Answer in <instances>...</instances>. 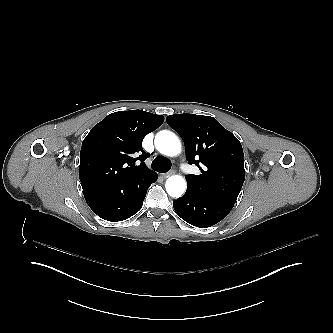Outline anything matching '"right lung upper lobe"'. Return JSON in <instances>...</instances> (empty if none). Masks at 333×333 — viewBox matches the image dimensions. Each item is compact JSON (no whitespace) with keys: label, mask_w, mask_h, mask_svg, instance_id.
<instances>
[{"label":"right lung upper lobe","mask_w":333,"mask_h":333,"mask_svg":"<svg viewBox=\"0 0 333 333\" xmlns=\"http://www.w3.org/2000/svg\"><path fill=\"white\" fill-rule=\"evenodd\" d=\"M163 121L162 115L131 110L112 113L96 124L81 147L79 178L82 188L85 181H124L150 171L144 163L149 154L142 149V141ZM138 153L141 155L133 158ZM137 160L141 161L139 165H135Z\"/></svg>","instance_id":"cb5924a9"}]
</instances>
